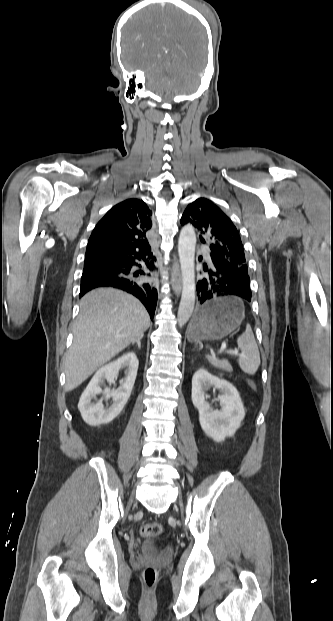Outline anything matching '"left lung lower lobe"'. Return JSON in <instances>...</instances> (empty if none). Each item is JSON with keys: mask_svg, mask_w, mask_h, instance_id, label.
<instances>
[{"mask_svg": "<svg viewBox=\"0 0 333 621\" xmlns=\"http://www.w3.org/2000/svg\"><path fill=\"white\" fill-rule=\"evenodd\" d=\"M211 266H204L209 274L197 283L198 300L202 304L211 298L235 295L251 300L250 278L247 270L236 268L225 258L209 253Z\"/></svg>", "mask_w": 333, "mask_h": 621, "instance_id": "1", "label": "left lung lower lobe"}]
</instances>
